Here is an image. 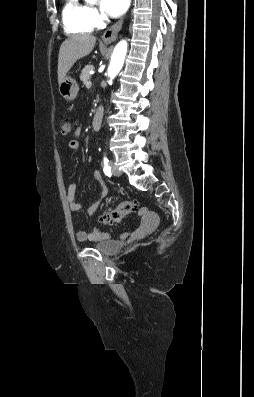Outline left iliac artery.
<instances>
[{
	"label": "left iliac artery",
	"instance_id": "obj_1",
	"mask_svg": "<svg viewBox=\"0 0 254 397\" xmlns=\"http://www.w3.org/2000/svg\"><path fill=\"white\" fill-rule=\"evenodd\" d=\"M104 173L105 175H107L108 177H111V167L109 165V160L107 157H104Z\"/></svg>",
	"mask_w": 254,
	"mask_h": 397
}]
</instances>
